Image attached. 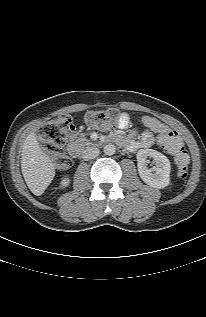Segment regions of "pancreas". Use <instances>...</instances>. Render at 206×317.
<instances>
[{
	"instance_id": "pancreas-1",
	"label": "pancreas",
	"mask_w": 206,
	"mask_h": 317,
	"mask_svg": "<svg viewBox=\"0 0 206 317\" xmlns=\"http://www.w3.org/2000/svg\"><path fill=\"white\" fill-rule=\"evenodd\" d=\"M78 142H79V143H85V144H86V143H88L89 141H88L86 138H79V139H78Z\"/></svg>"
}]
</instances>
